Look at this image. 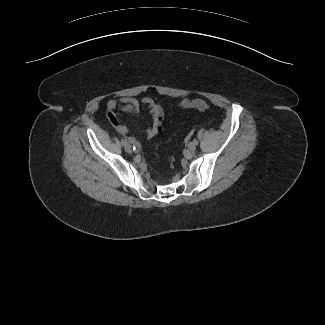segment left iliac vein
<instances>
[{
  "label": "left iliac vein",
  "instance_id": "1",
  "mask_svg": "<svg viewBox=\"0 0 325 325\" xmlns=\"http://www.w3.org/2000/svg\"><path fill=\"white\" fill-rule=\"evenodd\" d=\"M187 147L190 151H195L196 149V145L193 142H189Z\"/></svg>",
  "mask_w": 325,
  "mask_h": 325
}]
</instances>
